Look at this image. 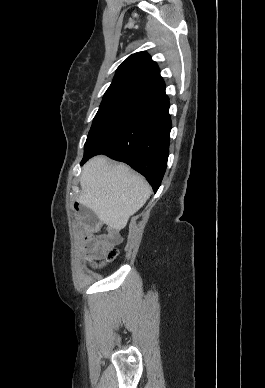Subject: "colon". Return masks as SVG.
Instances as JSON below:
<instances>
[{"mask_svg":"<svg viewBox=\"0 0 265 388\" xmlns=\"http://www.w3.org/2000/svg\"><path fill=\"white\" fill-rule=\"evenodd\" d=\"M116 256V251H111L109 254H108V260H112L113 258H115Z\"/></svg>","mask_w":265,"mask_h":388,"instance_id":"obj_1","label":"colon"}]
</instances>
